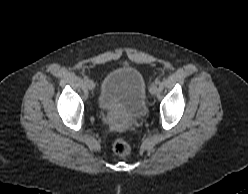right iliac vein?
Returning a JSON list of instances; mask_svg holds the SVG:
<instances>
[{
  "label": "right iliac vein",
  "mask_w": 248,
  "mask_h": 194,
  "mask_svg": "<svg viewBox=\"0 0 248 194\" xmlns=\"http://www.w3.org/2000/svg\"><path fill=\"white\" fill-rule=\"evenodd\" d=\"M86 86H87V88H88L89 90H93L94 87H95V84H94V82H93L92 80H88V81L86 82Z\"/></svg>",
  "instance_id": "right-iliac-vein-1"
}]
</instances>
